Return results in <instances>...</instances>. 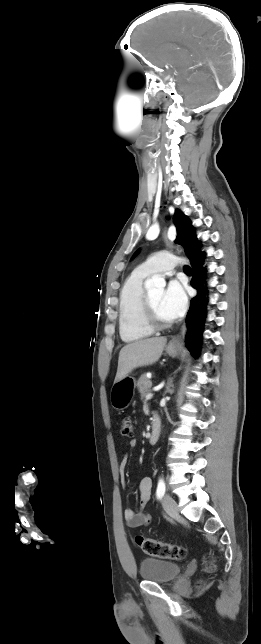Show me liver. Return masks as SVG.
I'll list each match as a JSON object with an SVG mask.
<instances>
[{
	"label": "liver",
	"mask_w": 261,
	"mask_h": 644,
	"mask_svg": "<svg viewBox=\"0 0 261 644\" xmlns=\"http://www.w3.org/2000/svg\"><path fill=\"white\" fill-rule=\"evenodd\" d=\"M166 337L148 338L125 345L119 353L114 383L122 380L133 369L156 363L166 345Z\"/></svg>",
	"instance_id": "6515ba94"
}]
</instances>
